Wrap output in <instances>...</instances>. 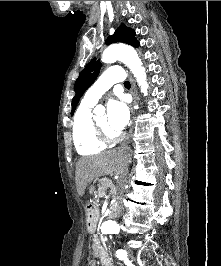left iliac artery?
<instances>
[{
	"label": "left iliac artery",
	"instance_id": "left-iliac-artery-1",
	"mask_svg": "<svg viewBox=\"0 0 221 266\" xmlns=\"http://www.w3.org/2000/svg\"><path fill=\"white\" fill-rule=\"evenodd\" d=\"M116 256L120 259V260H125L127 259V253L125 250L119 249L116 251Z\"/></svg>",
	"mask_w": 221,
	"mask_h": 266
}]
</instances>
